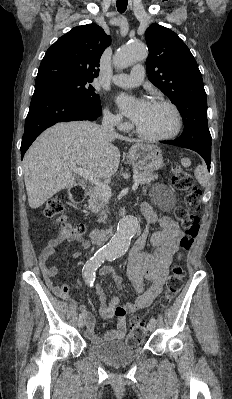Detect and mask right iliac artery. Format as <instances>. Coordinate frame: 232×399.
Returning a JSON list of instances; mask_svg holds the SVG:
<instances>
[{
	"label": "right iliac artery",
	"mask_w": 232,
	"mask_h": 399,
	"mask_svg": "<svg viewBox=\"0 0 232 399\" xmlns=\"http://www.w3.org/2000/svg\"><path fill=\"white\" fill-rule=\"evenodd\" d=\"M104 259V255H93L86 261L82 268L83 279L85 283L91 288L94 286V282L96 279V270L104 262ZM79 318H83V315H79Z\"/></svg>",
	"instance_id": "right-iliac-artery-1"
}]
</instances>
